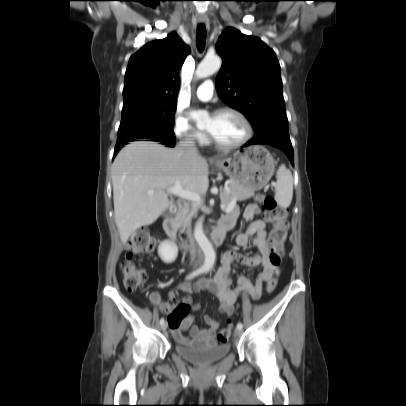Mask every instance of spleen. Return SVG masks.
Instances as JSON below:
<instances>
[{"label": "spleen", "mask_w": 406, "mask_h": 406, "mask_svg": "<svg viewBox=\"0 0 406 406\" xmlns=\"http://www.w3.org/2000/svg\"><path fill=\"white\" fill-rule=\"evenodd\" d=\"M275 184V200L279 206L287 208L293 197V177L285 165H281L277 171Z\"/></svg>", "instance_id": "obj_1"}]
</instances>
